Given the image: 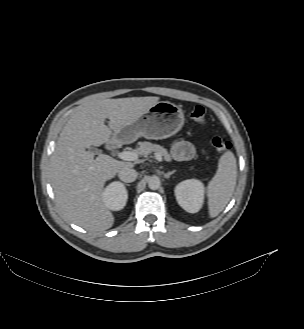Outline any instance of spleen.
<instances>
[{
    "label": "spleen",
    "mask_w": 304,
    "mask_h": 329,
    "mask_svg": "<svg viewBox=\"0 0 304 329\" xmlns=\"http://www.w3.org/2000/svg\"><path fill=\"white\" fill-rule=\"evenodd\" d=\"M237 165L234 154L225 152L219 159L218 169L208 184V208L211 218L216 217L228 204L236 186Z\"/></svg>",
    "instance_id": "3e777b00"
}]
</instances>
